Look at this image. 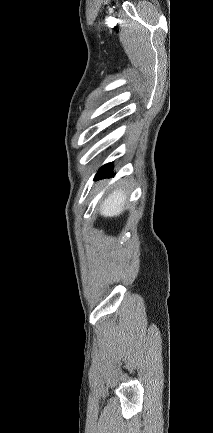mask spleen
I'll return each instance as SVG.
<instances>
[{"label": "spleen", "mask_w": 213, "mask_h": 433, "mask_svg": "<svg viewBox=\"0 0 213 433\" xmlns=\"http://www.w3.org/2000/svg\"><path fill=\"white\" fill-rule=\"evenodd\" d=\"M126 200L127 195L123 190H115L102 202L101 215L105 217L119 215L125 207Z\"/></svg>", "instance_id": "3e777b00"}]
</instances>
